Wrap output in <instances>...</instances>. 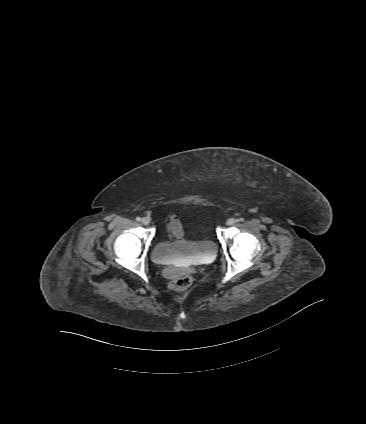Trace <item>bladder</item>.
<instances>
[{"instance_id": "1", "label": "bladder", "mask_w": 366, "mask_h": 424, "mask_svg": "<svg viewBox=\"0 0 366 424\" xmlns=\"http://www.w3.org/2000/svg\"><path fill=\"white\" fill-rule=\"evenodd\" d=\"M217 254L216 244L207 239L203 240H159L152 248V259L159 264H169L178 260L196 262L213 259Z\"/></svg>"}]
</instances>
